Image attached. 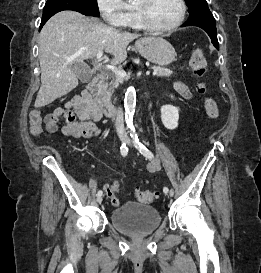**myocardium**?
<instances>
[{"mask_svg":"<svg viewBox=\"0 0 261 273\" xmlns=\"http://www.w3.org/2000/svg\"><path fill=\"white\" fill-rule=\"evenodd\" d=\"M151 2H153V0H143L142 5L135 6L139 20L144 29L154 33H167V32H171L175 30L180 25H182V23L185 20L186 12H187V6L185 3V0H178L180 4V8H181L180 16L174 24L168 27H157L152 23L149 12H148V7Z\"/></svg>","mask_w":261,"mask_h":273,"instance_id":"1","label":"myocardium"}]
</instances>
